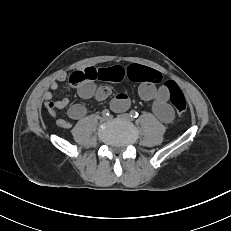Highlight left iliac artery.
Masks as SVG:
<instances>
[{"label":"left iliac artery","mask_w":231,"mask_h":231,"mask_svg":"<svg viewBox=\"0 0 231 231\" xmlns=\"http://www.w3.org/2000/svg\"><path fill=\"white\" fill-rule=\"evenodd\" d=\"M130 115H131V117H133V118H137L138 115H139V113L136 112L135 110H132V111H130Z\"/></svg>","instance_id":"1"}]
</instances>
